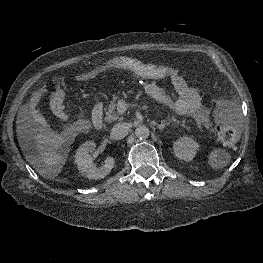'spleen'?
Returning a JSON list of instances; mask_svg holds the SVG:
<instances>
[{
    "instance_id": "obj_1",
    "label": "spleen",
    "mask_w": 263,
    "mask_h": 263,
    "mask_svg": "<svg viewBox=\"0 0 263 263\" xmlns=\"http://www.w3.org/2000/svg\"><path fill=\"white\" fill-rule=\"evenodd\" d=\"M230 162L229 153L225 150L215 148L210 151L208 156V163L211 167L221 169Z\"/></svg>"
}]
</instances>
